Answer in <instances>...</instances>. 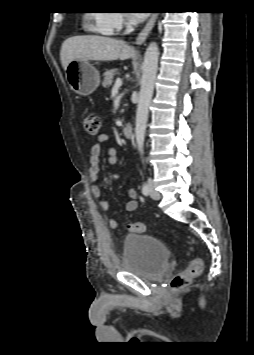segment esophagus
I'll return each mask as SVG.
<instances>
[{"mask_svg": "<svg viewBox=\"0 0 254 355\" xmlns=\"http://www.w3.org/2000/svg\"><path fill=\"white\" fill-rule=\"evenodd\" d=\"M157 18H158V14L155 12L152 13V15H151L150 19L148 20V22L146 23L145 27L142 29V31L138 34V36L136 38L137 45H141L145 42L149 33L153 29Z\"/></svg>", "mask_w": 254, "mask_h": 355, "instance_id": "1", "label": "esophagus"}]
</instances>
